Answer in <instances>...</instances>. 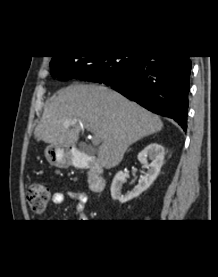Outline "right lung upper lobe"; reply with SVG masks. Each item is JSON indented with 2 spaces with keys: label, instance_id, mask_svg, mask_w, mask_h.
Instances as JSON below:
<instances>
[{
  "label": "right lung upper lobe",
  "instance_id": "obj_1",
  "mask_svg": "<svg viewBox=\"0 0 218 277\" xmlns=\"http://www.w3.org/2000/svg\"><path fill=\"white\" fill-rule=\"evenodd\" d=\"M56 57H59V56H54L53 59L56 58Z\"/></svg>",
  "mask_w": 218,
  "mask_h": 277
}]
</instances>
